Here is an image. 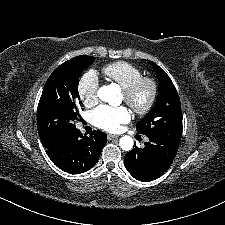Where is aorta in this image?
Returning <instances> with one entry per match:
<instances>
[{
	"label": "aorta",
	"instance_id": "762f6f07",
	"mask_svg": "<svg viewBox=\"0 0 225 225\" xmlns=\"http://www.w3.org/2000/svg\"><path fill=\"white\" fill-rule=\"evenodd\" d=\"M118 94H119V91L115 84L102 86L101 88H99L97 92L99 99H101L104 102H108L111 105L117 104ZM133 145H134V142L130 136H123L120 138L119 146L122 150L130 151L132 150Z\"/></svg>",
	"mask_w": 225,
	"mask_h": 225
}]
</instances>
